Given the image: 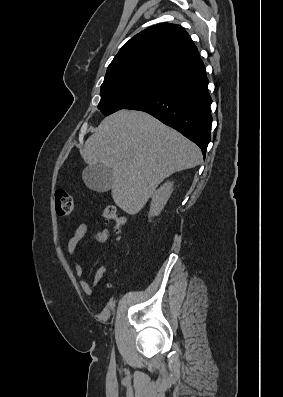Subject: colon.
I'll list each match as a JSON object with an SVG mask.
<instances>
[{
  "label": "colon",
  "mask_w": 283,
  "mask_h": 397,
  "mask_svg": "<svg viewBox=\"0 0 283 397\" xmlns=\"http://www.w3.org/2000/svg\"><path fill=\"white\" fill-rule=\"evenodd\" d=\"M55 207L58 215H69L74 210V202L72 196L64 189L55 191ZM102 217L105 221L114 223L115 231L121 233L125 226V218L119 216L112 206H106L102 210Z\"/></svg>",
  "instance_id": "obj_1"
}]
</instances>
